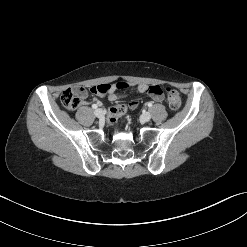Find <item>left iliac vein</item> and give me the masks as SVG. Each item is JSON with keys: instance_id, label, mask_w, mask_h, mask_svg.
Returning a JSON list of instances; mask_svg holds the SVG:
<instances>
[{"instance_id": "left-iliac-vein-1", "label": "left iliac vein", "mask_w": 247, "mask_h": 247, "mask_svg": "<svg viewBox=\"0 0 247 247\" xmlns=\"http://www.w3.org/2000/svg\"><path fill=\"white\" fill-rule=\"evenodd\" d=\"M141 119L144 121V122H148L150 121L151 119V114L149 112H145L142 116H141Z\"/></svg>"}]
</instances>
